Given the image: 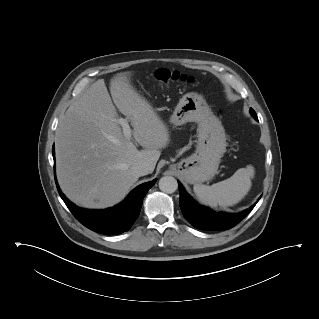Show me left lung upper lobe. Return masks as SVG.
<instances>
[{
  "mask_svg": "<svg viewBox=\"0 0 319 319\" xmlns=\"http://www.w3.org/2000/svg\"><path fill=\"white\" fill-rule=\"evenodd\" d=\"M250 113L252 114L254 118L257 117L255 111L252 108H250Z\"/></svg>",
  "mask_w": 319,
  "mask_h": 319,
  "instance_id": "1",
  "label": "left lung upper lobe"
}]
</instances>
